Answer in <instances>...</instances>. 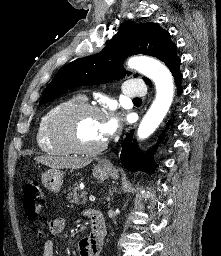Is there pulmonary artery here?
Instances as JSON below:
<instances>
[{
  "label": "pulmonary artery",
  "mask_w": 221,
  "mask_h": 256,
  "mask_svg": "<svg viewBox=\"0 0 221 256\" xmlns=\"http://www.w3.org/2000/svg\"><path fill=\"white\" fill-rule=\"evenodd\" d=\"M123 93L128 97H141L146 94V86L141 80L131 79L124 83Z\"/></svg>",
  "instance_id": "obj_1"
}]
</instances>
